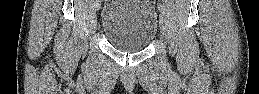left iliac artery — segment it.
Segmentation results:
<instances>
[{"label": "left iliac artery", "mask_w": 259, "mask_h": 94, "mask_svg": "<svg viewBox=\"0 0 259 94\" xmlns=\"http://www.w3.org/2000/svg\"><path fill=\"white\" fill-rule=\"evenodd\" d=\"M158 9H159L160 12H165L166 11L165 7L162 4H160V3L158 4Z\"/></svg>", "instance_id": "obj_1"}]
</instances>
